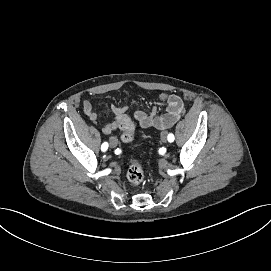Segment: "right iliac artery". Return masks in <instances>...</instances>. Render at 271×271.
<instances>
[{
  "mask_svg": "<svg viewBox=\"0 0 271 271\" xmlns=\"http://www.w3.org/2000/svg\"><path fill=\"white\" fill-rule=\"evenodd\" d=\"M108 149V143L107 142H104L101 146V150L102 151H106Z\"/></svg>",
  "mask_w": 271,
  "mask_h": 271,
  "instance_id": "1",
  "label": "right iliac artery"
}]
</instances>
